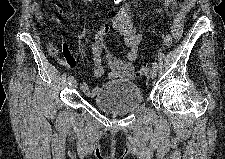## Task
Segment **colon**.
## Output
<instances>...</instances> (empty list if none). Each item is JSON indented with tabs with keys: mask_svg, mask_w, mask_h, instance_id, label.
<instances>
[{
	"mask_svg": "<svg viewBox=\"0 0 225 159\" xmlns=\"http://www.w3.org/2000/svg\"><path fill=\"white\" fill-rule=\"evenodd\" d=\"M171 44H172V37L169 34L165 35L163 38L164 47L169 48L171 46ZM149 70H150L149 64L144 63L139 70V74L141 76H146L149 73Z\"/></svg>",
	"mask_w": 225,
	"mask_h": 159,
	"instance_id": "colon-1",
	"label": "colon"
}]
</instances>
